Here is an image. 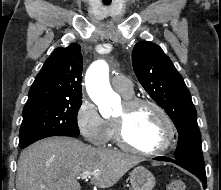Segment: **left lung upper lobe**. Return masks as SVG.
<instances>
[{"label":"left lung upper lobe","instance_id":"obj_1","mask_svg":"<svg viewBox=\"0 0 221 190\" xmlns=\"http://www.w3.org/2000/svg\"><path fill=\"white\" fill-rule=\"evenodd\" d=\"M134 72L148 94L167 112L178 133L175 159L205 172L197 112L182 76L155 43L140 41L132 52Z\"/></svg>","mask_w":221,"mask_h":190}]
</instances>
